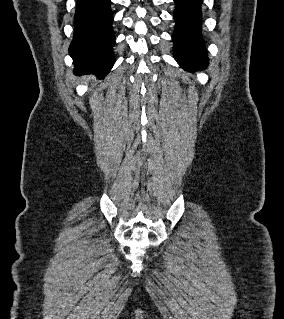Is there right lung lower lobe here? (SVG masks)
I'll return each mask as SVG.
<instances>
[{
  "label": "right lung lower lobe",
  "instance_id": "obj_1",
  "mask_svg": "<svg viewBox=\"0 0 284 319\" xmlns=\"http://www.w3.org/2000/svg\"><path fill=\"white\" fill-rule=\"evenodd\" d=\"M74 19V37L69 48L74 72L103 78L115 62L110 0H77Z\"/></svg>",
  "mask_w": 284,
  "mask_h": 319
}]
</instances>
